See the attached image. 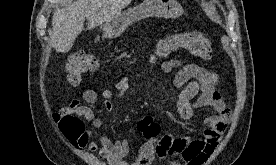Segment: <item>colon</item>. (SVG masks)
<instances>
[{
  "label": "colon",
  "instance_id": "5ec220e1",
  "mask_svg": "<svg viewBox=\"0 0 276 165\" xmlns=\"http://www.w3.org/2000/svg\"><path fill=\"white\" fill-rule=\"evenodd\" d=\"M178 49H185L192 55L205 60L212 56L210 40L196 31L184 32L160 40L156 47V56L165 57ZM97 69L98 61L94 55L85 51L75 52L70 55L66 65L67 81L72 86L79 85L86 74ZM55 119L64 134L76 142L83 131V122L76 117H61L58 114L55 115ZM138 128L148 139L156 138L160 132L159 125L150 117L141 119L138 122Z\"/></svg>",
  "mask_w": 276,
  "mask_h": 165
}]
</instances>
